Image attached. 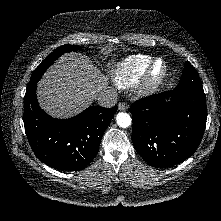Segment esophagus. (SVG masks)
Wrapping results in <instances>:
<instances>
[{"label": "esophagus", "mask_w": 221, "mask_h": 221, "mask_svg": "<svg viewBox=\"0 0 221 221\" xmlns=\"http://www.w3.org/2000/svg\"><path fill=\"white\" fill-rule=\"evenodd\" d=\"M118 109H119L120 111H126V110L128 109V106H127L126 103L120 102V103L118 104Z\"/></svg>", "instance_id": "obj_1"}]
</instances>
